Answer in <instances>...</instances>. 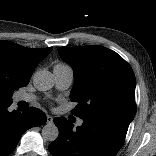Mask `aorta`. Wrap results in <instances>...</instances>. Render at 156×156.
Listing matches in <instances>:
<instances>
[{"label": "aorta", "mask_w": 156, "mask_h": 156, "mask_svg": "<svg viewBox=\"0 0 156 156\" xmlns=\"http://www.w3.org/2000/svg\"><path fill=\"white\" fill-rule=\"evenodd\" d=\"M33 84L39 91L50 90L53 83V75L49 71H37L33 75ZM59 130L54 123H47L42 129V137L46 141L53 142L58 138Z\"/></svg>", "instance_id": "1"}]
</instances>
